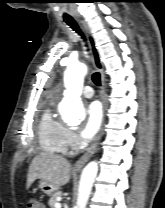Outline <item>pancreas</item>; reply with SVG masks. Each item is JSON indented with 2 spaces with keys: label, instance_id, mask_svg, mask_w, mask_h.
<instances>
[{
  "label": "pancreas",
  "instance_id": "cf45deb5",
  "mask_svg": "<svg viewBox=\"0 0 165 208\" xmlns=\"http://www.w3.org/2000/svg\"><path fill=\"white\" fill-rule=\"evenodd\" d=\"M62 192L61 191H56L51 198L49 199L48 205L50 208H55V204L57 203V198L62 197Z\"/></svg>",
  "mask_w": 165,
  "mask_h": 208
}]
</instances>
